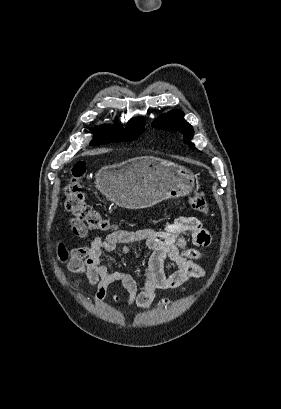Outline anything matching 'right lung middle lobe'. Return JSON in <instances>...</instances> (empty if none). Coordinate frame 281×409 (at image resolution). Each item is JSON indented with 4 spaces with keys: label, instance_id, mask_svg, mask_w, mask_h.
Returning a JSON list of instances; mask_svg holds the SVG:
<instances>
[{
    "label": "right lung middle lobe",
    "instance_id": "right-lung-middle-lobe-1",
    "mask_svg": "<svg viewBox=\"0 0 281 409\" xmlns=\"http://www.w3.org/2000/svg\"><path fill=\"white\" fill-rule=\"evenodd\" d=\"M144 131V125L123 128H99L93 131L94 138L90 145H101L112 142L132 141Z\"/></svg>",
    "mask_w": 281,
    "mask_h": 409
}]
</instances>
